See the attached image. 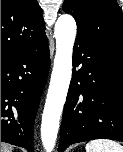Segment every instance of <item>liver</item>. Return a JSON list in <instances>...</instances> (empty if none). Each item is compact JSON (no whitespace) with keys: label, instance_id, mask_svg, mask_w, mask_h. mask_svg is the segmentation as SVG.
<instances>
[{"label":"liver","instance_id":"obj_1","mask_svg":"<svg viewBox=\"0 0 123 152\" xmlns=\"http://www.w3.org/2000/svg\"><path fill=\"white\" fill-rule=\"evenodd\" d=\"M13 146L6 144V143H1V152H12Z\"/></svg>","mask_w":123,"mask_h":152}]
</instances>
